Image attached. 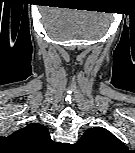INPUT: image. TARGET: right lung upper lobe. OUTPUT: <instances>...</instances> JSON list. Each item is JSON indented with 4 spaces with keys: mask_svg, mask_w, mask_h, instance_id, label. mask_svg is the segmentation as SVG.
I'll use <instances>...</instances> for the list:
<instances>
[{
    "mask_svg": "<svg viewBox=\"0 0 135 153\" xmlns=\"http://www.w3.org/2000/svg\"><path fill=\"white\" fill-rule=\"evenodd\" d=\"M13 135L19 137L25 142H29L38 146L44 145L51 141L48 129L38 123L29 124L13 133Z\"/></svg>",
    "mask_w": 135,
    "mask_h": 153,
    "instance_id": "obj_1",
    "label": "right lung upper lobe"
}]
</instances>
